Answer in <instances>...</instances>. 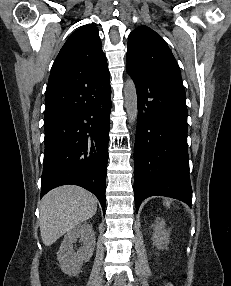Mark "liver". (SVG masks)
<instances>
[{
	"label": "liver",
	"instance_id": "obj_1",
	"mask_svg": "<svg viewBox=\"0 0 231 286\" xmlns=\"http://www.w3.org/2000/svg\"><path fill=\"white\" fill-rule=\"evenodd\" d=\"M39 208L41 238L50 246L66 232L92 218L97 210V199L81 187L65 185L49 191Z\"/></svg>",
	"mask_w": 231,
	"mask_h": 286
}]
</instances>
